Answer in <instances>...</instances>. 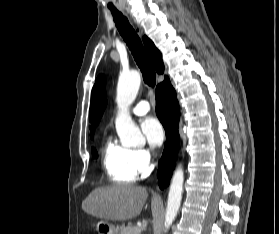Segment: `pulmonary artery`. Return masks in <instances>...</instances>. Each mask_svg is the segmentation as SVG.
<instances>
[{
    "instance_id": "obj_1",
    "label": "pulmonary artery",
    "mask_w": 279,
    "mask_h": 234,
    "mask_svg": "<svg viewBox=\"0 0 279 234\" xmlns=\"http://www.w3.org/2000/svg\"><path fill=\"white\" fill-rule=\"evenodd\" d=\"M149 110H150V105L148 101L141 100L133 106L131 111L134 115L142 116L147 114Z\"/></svg>"
}]
</instances>
